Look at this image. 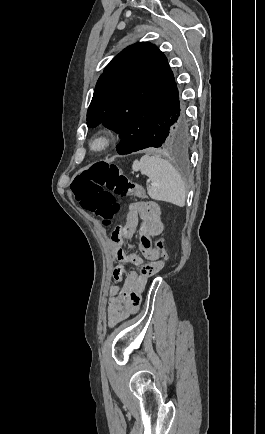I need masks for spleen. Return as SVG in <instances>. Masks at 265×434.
Segmentation results:
<instances>
[{
    "mask_svg": "<svg viewBox=\"0 0 265 434\" xmlns=\"http://www.w3.org/2000/svg\"><path fill=\"white\" fill-rule=\"evenodd\" d=\"M134 172H141L148 176L152 186L148 188V194L152 200H161V202H170L175 206H185V186L184 182L177 172L176 168L168 162L162 160L160 156H142L140 162L135 160L132 164Z\"/></svg>",
    "mask_w": 265,
    "mask_h": 434,
    "instance_id": "3e777b00",
    "label": "spleen"
}]
</instances>
